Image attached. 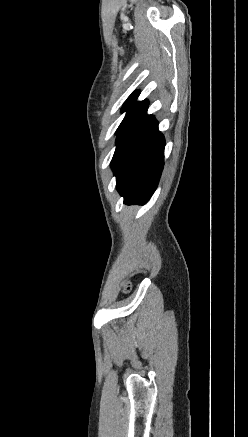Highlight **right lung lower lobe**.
Returning a JSON list of instances; mask_svg holds the SVG:
<instances>
[{
	"mask_svg": "<svg viewBox=\"0 0 248 437\" xmlns=\"http://www.w3.org/2000/svg\"><path fill=\"white\" fill-rule=\"evenodd\" d=\"M147 109V100L133 105L119 129L111 161L117 190L127 204H145L150 199L164 165L165 139Z\"/></svg>",
	"mask_w": 248,
	"mask_h": 437,
	"instance_id": "98d812e1",
	"label": "right lung lower lobe"
}]
</instances>
